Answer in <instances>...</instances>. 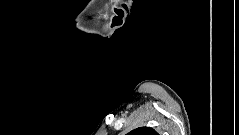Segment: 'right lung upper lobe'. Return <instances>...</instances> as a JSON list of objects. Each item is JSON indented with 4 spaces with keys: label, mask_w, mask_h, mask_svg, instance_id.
<instances>
[{
    "label": "right lung upper lobe",
    "mask_w": 239,
    "mask_h": 135,
    "mask_svg": "<svg viewBox=\"0 0 239 135\" xmlns=\"http://www.w3.org/2000/svg\"><path fill=\"white\" fill-rule=\"evenodd\" d=\"M127 135H158V133L150 127H140L132 130Z\"/></svg>",
    "instance_id": "cb5924a9"
}]
</instances>
